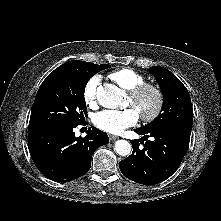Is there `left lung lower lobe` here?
Wrapping results in <instances>:
<instances>
[{
	"label": "left lung lower lobe",
	"mask_w": 221,
	"mask_h": 221,
	"mask_svg": "<svg viewBox=\"0 0 221 221\" xmlns=\"http://www.w3.org/2000/svg\"><path fill=\"white\" fill-rule=\"evenodd\" d=\"M134 131L143 138L140 143L132 140V155L120 161L123 175L145 185L159 183L171 176L188 150L190 134L177 130L144 131L138 128ZM149 137L152 139L148 140ZM140 144L143 147H139Z\"/></svg>",
	"instance_id": "0a47b994"
}]
</instances>
